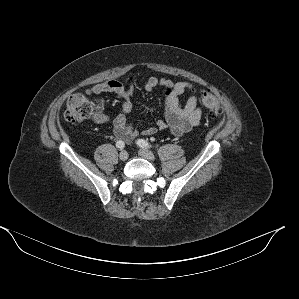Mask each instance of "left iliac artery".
<instances>
[{"instance_id": "44dca946", "label": "left iliac artery", "mask_w": 299, "mask_h": 299, "mask_svg": "<svg viewBox=\"0 0 299 299\" xmlns=\"http://www.w3.org/2000/svg\"><path fill=\"white\" fill-rule=\"evenodd\" d=\"M137 145L140 146V147H142V148H151L150 143H148L144 139H138L137 140Z\"/></svg>"}]
</instances>
